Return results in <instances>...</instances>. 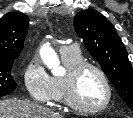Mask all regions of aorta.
Instances as JSON below:
<instances>
[{
  "label": "aorta",
  "instance_id": "1",
  "mask_svg": "<svg viewBox=\"0 0 133 118\" xmlns=\"http://www.w3.org/2000/svg\"><path fill=\"white\" fill-rule=\"evenodd\" d=\"M41 57L43 62L51 69L52 73L55 75L61 74L63 69L59 65V59L50 47H47L42 53Z\"/></svg>",
  "mask_w": 133,
  "mask_h": 118
}]
</instances>
